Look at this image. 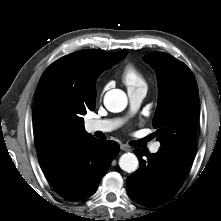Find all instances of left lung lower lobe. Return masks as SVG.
I'll return each instance as SVG.
<instances>
[{
	"mask_svg": "<svg viewBox=\"0 0 221 221\" xmlns=\"http://www.w3.org/2000/svg\"><path fill=\"white\" fill-rule=\"evenodd\" d=\"M139 169L127 178L129 197L144 206L157 207L170 200L185 181L192 165V155L161 147L157 153L135 149ZM147 156V160L143 159Z\"/></svg>",
	"mask_w": 221,
	"mask_h": 221,
	"instance_id": "obj_1",
	"label": "left lung lower lobe"
}]
</instances>
